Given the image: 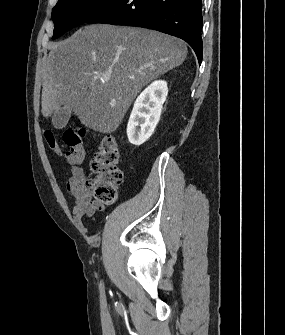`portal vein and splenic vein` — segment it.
Segmentation results:
<instances>
[{
	"label": "portal vein and splenic vein",
	"instance_id": "1",
	"mask_svg": "<svg viewBox=\"0 0 285 335\" xmlns=\"http://www.w3.org/2000/svg\"><path fill=\"white\" fill-rule=\"evenodd\" d=\"M108 80H110V78H105V82H108Z\"/></svg>",
	"mask_w": 285,
	"mask_h": 335
}]
</instances>
